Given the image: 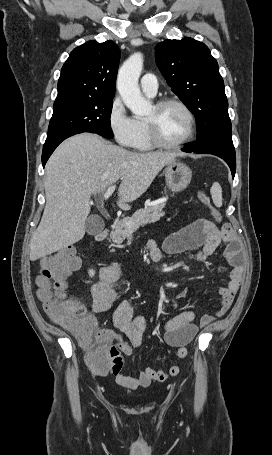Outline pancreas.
Returning <instances> with one entry per match:
<instances>
[{
  "label": "pancreas",
  "mask_w": 272,
  "mask_h": 455,
  "mask_svg": "<svg viewBox=\"0 0 272 455\" xmlns=\"http://www.w3.org/2000/svg\"><path fill=\"white\" fill-rule=\"evenodd\" d=\"M164 207V203L145 207L137 210L132 217L125 218L123 221L115 224L110 235V241L113 242L111 246L121 244L127 238L129 233L136 231L140 226L159 221L165 214L163 212ZM127 222H131V225L127 226ZM111 252H114V250L112 249Z\"/></svg>",
  "instance_id": "1"
}]
</instances>
